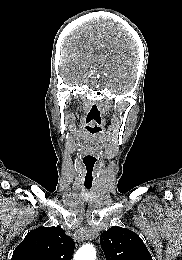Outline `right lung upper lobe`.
Masks as SVG:
<instances>
[{
  "label": "right lung upper lobe",
  "instance_id": "obj_1",
  "mask_svg": "<svg viewBox=\"0 0 182 260\" xmlns=\"http://www.w3.org/2000/svg\"><path fill=\"white\" fill-rule=\"evenodd\" d=\"M74 241L60 227L30 231L14 250L11 260H71Z\"/></svg>",
  "mask_w": 182,
  "mask_h": 260
}]
</instances>
